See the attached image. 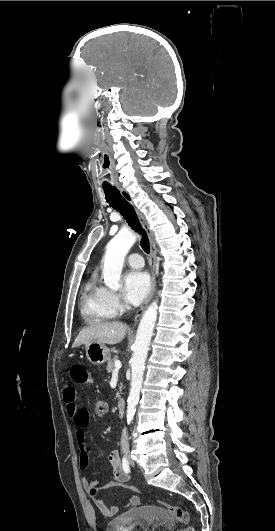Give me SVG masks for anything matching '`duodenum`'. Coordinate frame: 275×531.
Returning <instances> with one entry per match:
<instances>
[{
  "label": "duodenum",
  "instance_id": "duodenum-1",
  "mask_svg": "<svg viewBox=\"0 0 275 531\" xmlns=\"http://www.w3.org/2000/svg\"><path fill=\"white\" fill-rule=\"evenodd\" d=\"M117 413L119 416H123L126 410V401L125 399H120L117 403Z\"/></svg>",
  "mask_w": 275,
  "mask_h": 531
}]
</instances>
